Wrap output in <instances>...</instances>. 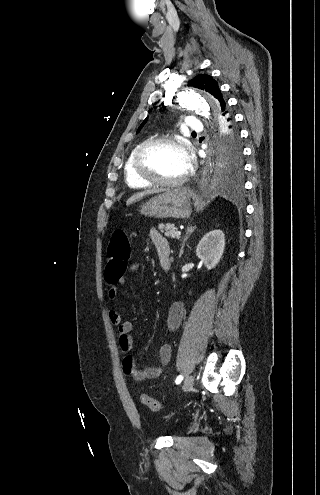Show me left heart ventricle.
Wrapping results in <instances>:
<instances>
[{"instance_id":"obj_1","label":"left heart ventricle","mask_w":320,"mask_h":495,"mask_svg":"<svg viewBox=\"0 0 320 495\" xmlns=\"http://www.w3.org/2000/svg\"><path fill=\"white\" fill-rule=\"evenodd\" d=\"M144 163L155 176L175 180L185 174L188 161L185 152L173 144H160L145 155Z\"/></svg>"}]
</instances>
